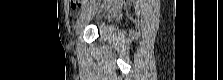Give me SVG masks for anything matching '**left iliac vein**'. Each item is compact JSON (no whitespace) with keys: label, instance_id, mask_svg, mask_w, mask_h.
Segmentation results:
<instances>
[{"label":"left iliac vein","instance_id":"1","mask_svg":"<svg viewBox=\"0 0 223 80\" xmlns=\"http://www.w3.org/2000/svg\"><path fill=\"white\" fill-rule=\"evenodd\" d=\"M98 6H99V1L87 5L83 13L80 15V18L76 24L75 27L76 35H79L83 31L84 27L90 22V20L97 12Z\"/></svg>","mask_w":223,"mask_h":80}]
</instances>
